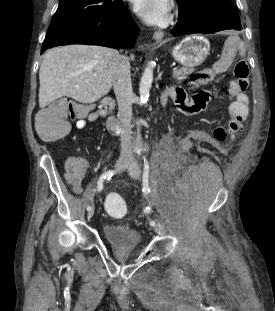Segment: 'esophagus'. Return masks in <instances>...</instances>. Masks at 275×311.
I'll list each match as a JSON object with an SVG mask.
<instances>
[{"mask_svg":"<svg viewBox=\"0 0 275 311\" xmlns=\"http://www.w3.org/2000/svg\"><path fill=\"white\" fill-rule=\"evenodd\" d=\"M164 37V32L162 30L155 31L153 38L156 42H162Z\"/></svg>","mask_w":275,"mask_h":311,"instance_id":"34e87169","label":"esophagus"}]
</instances>
